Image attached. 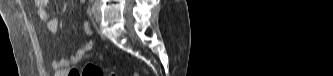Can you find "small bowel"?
I'll list each match as a JSON object with an SVG mask.
<instances>
[{
  "mask_svg": "<svg viewBox=\"0 0 333 76\" xmlns=\"http://www.w3.org/2000/svg\"><path fill=\"white\" fill-rule=\"evenodd\" d=\"M47 0H36L35 5L38 7L40 19L47 23V27L51 32L58 31V22L52 19L47 11ZM85 30L88 35L92 34V29L88 22L85 23ZM94 47L92 39L87 40L83 45L78 47L68 59H55L52 61V68L55 76H84L81 68H76L85 54Z\"/></svg>",
  "mask_w": 333,
  "mask_h": 76,
  "instance_id": "c3829d8e",
  "label": "small bowel"
}]
</instances>
